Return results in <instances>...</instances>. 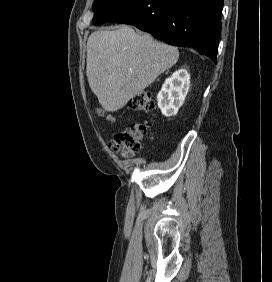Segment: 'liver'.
<instances>
[{"label": "liver", "instance_id": "obj_1", "mask_svg": "<svg viewBox=\"0 0 272 282\" xmlns=\"http://www.w3.org/2000/svg\"><path fill=\"white\" fill-rule=\"evenodd\" d=\"M178 57L176 47L127 25L96 31L87 41L89 86L101 106L115 112L172 67Z\"/></svg>", "mask_w": 272, "mask_h": 282}]
</instances>
